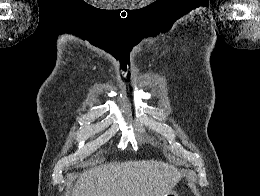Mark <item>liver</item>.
I'll use <instances>...</instances> for the list:
<instances>
[{
  "instance_id": "liver-1",
  "label": "liver",
  "mask_w": 260,
  "mask_h": 196,
  "mask_svg": "<svg viewBox=\"0 0 260 196\" xmlns=\"http://www.w3.org/2000/svg\"><path fill=\"white\" fill-rule=\"evenodd\" d=\"M181 178L174 166L156 160L114 162L80 174L71 196H166Z\"/></svg>"
}]
</instances>
